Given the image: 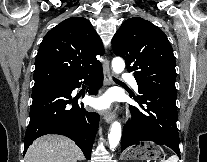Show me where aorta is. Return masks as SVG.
<instances>
[{"label": "aorta", "mask_w": 207, "mask_h": 162, "mask_svg": "<svg viewBox=\"0 0 207 162\" xmlns=\"http://www.w3.org/2000/svg\"><path fill=\"white\" fill-rule=\"evenodd\" d=\"M112 68L116 74H120L124 71L125 63L124 60L120 57H116L112 60ZM121 138V124L118 121L113 122L110 132L108 134L109 146L110 149L114 150L120 141Z\"/></svg>", "instance_id": "762f6f07"}]
</instances>
